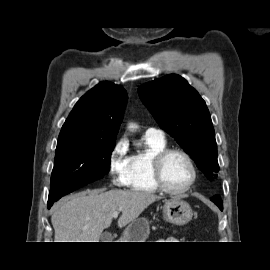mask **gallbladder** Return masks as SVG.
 Wrapping results in <instances>:
<instances>
[{
    "mask_svg": "<svg viewBox=\"0 0 270 270\" xmlns=\"http://www.w3.org/2000/svg\"><path fill=\"white\" fill-rule=\"evenodd\" d=\"M101 238L103 241H106V242H110L113 239L111 233H104L102 234Z\"/></svg>",
    "mask_w": 270,
    "mask_h": 270,
    "instance_id": "obj_1",
    "label": "gallbladder"
}]
</instances>
